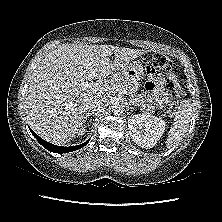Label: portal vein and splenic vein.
Returning a JSON list of instances; mask_svg holds the SVG:
<instances>
[{
	"label": "portal vein and splenic vein",
	"instance_id": "portal-vein-and-splenic-vein-1",
	"mask_svg": "<svg viewBox=\"0 0 222 222\" xmlns=\"http://www.w3.org/2000/svg\"><path fill=\"white\" fill-rule=\"evenodd\" d=\"M80 86H82L84 88L93 89V90H101V91L109 92V93L124 90V88H122L120 85L107 84L102 81H99L96 83L83 82L80 84Z\"/></svg>",
	"mask_w": 222,
	"mask_h": 222
}]
</instances>
